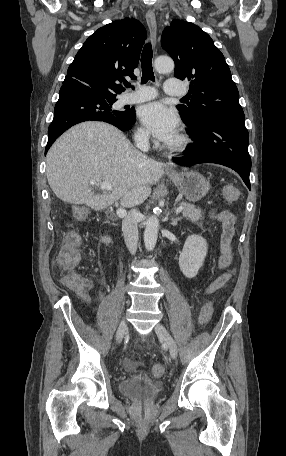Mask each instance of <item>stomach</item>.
Returning a JSON list of instances; mask_svg holds the SVG:
<instances>
[{"mask_svg":"<svg viewBox=\"0 0 286 456\" xmlns=\"http://www.w3.org/2000/svg\"><path fill=\"white\" fill-rule=\"evenodd\" d=\"M169 177L178 190L191 202L201 200L210 188L205 177L195 171L185 170L180 173H169Z\"/></svg>","mask_w":286,"mask_h":456,"instance_id":"1","label":"stomach"}]
</instances>
